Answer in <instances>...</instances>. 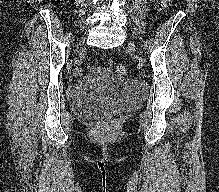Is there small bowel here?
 Instances as JSON below:
<instances>
[{
	"label": "small bowel",
	"instance_id": "1",
	"mask_svg": "<svg viewBox=\"0 0 219 192\" xmlns=\"http://www.w3.org/2000/svg\"><path fill=\"white\" fill-rule=\"evenodd\" d=\"M93 69H94V70H96V68H95V67H93ZM102 71H106V72H108V71H109V69H108V68H104V69H102Z\"/></svg>",
	"mask_w": 219,
	"mask_h": 192
}]
</instances>
